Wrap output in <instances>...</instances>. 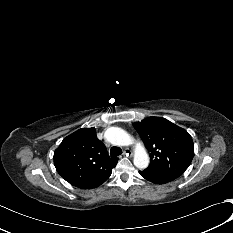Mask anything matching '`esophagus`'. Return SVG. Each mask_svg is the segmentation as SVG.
I'll use <instances>...</instances> for the list:
<instances>
[{
    "instance_id": "obj_1",
    "label": "esophagus",
    "mask_w": 233,
    "mask_h": 233,
    "mask_svg": "<svg viewBox=\"0 0 233 233\" xmlns=\"http://www.w3.org/2000/svg\"><path fill=\"white\" fill-rule=\"evenodd\" d=\"M123 155L131 156L132 155V151L129 150V149H125L124 152H123Z\"/></svg>"
}]
</instances>
